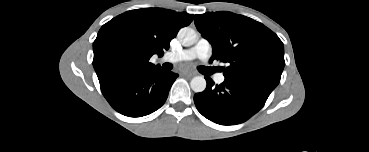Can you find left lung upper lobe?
<instances>
[{
  "label": "left lung upper lobe",
  "instance_id": "5c2ea615",
  "mask_svg": "<svg viewBox=\"0 0 369 152\" xmlns=\"http://www.w3.org/2000/svg\"><path fill=\"white\" fill-rule=\"evenodd\" d=\"M198 31L212 45L214 59L227 63L226 80L273 90L285 65L279 37L263 24L231 12L195 15Z\"/></svg>",
  "mask_w": 369,
  "mask_h": 152
}]
</instances>
